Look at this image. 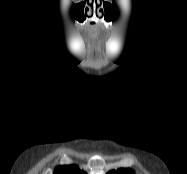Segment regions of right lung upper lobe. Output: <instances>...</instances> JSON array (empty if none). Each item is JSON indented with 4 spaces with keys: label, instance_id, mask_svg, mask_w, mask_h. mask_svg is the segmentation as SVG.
Instances as JSON below:
<instances>
[{
    "label": "right lung upper lobe",
    "instance_id": "obj_1",
    "mask_svg": "<svg viewBox=\"0 0 187 174\" xmlns=\"http://www.w3.org/2000/svg\"><path fill=\"white\" fill-rule=\"evenodd\" d=\"M55 174H86L81 171L76 165L59 166L55 169Z\"/></svg>",
    "mask_w": 187,
    "mask_h": 174
}]
</instances>
